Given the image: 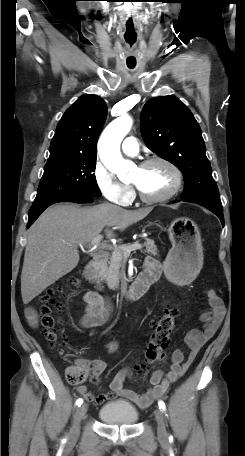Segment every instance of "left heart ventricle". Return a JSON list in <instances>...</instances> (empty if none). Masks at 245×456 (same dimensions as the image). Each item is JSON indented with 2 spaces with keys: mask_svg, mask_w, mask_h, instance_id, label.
<instances>
[{
  "mask_svg": "<svg viewBox=\"0 0 245 456\" xmlns=\"http://www.w3.org/2000/svg\"><path fill=\"white\" fill-rule=\"evenodd\" d=\"M173 172L164 164L155 163L145 168L137 167L131 182L137 185L147 196H160L167 193L174 185Z\"/></svg>",
  "mask_w": 245,
  "mask_h": 456,
  "instance_id": "left-heart-ventricle-1",
  "label": "left heart ventricle"
}]
</instances>
